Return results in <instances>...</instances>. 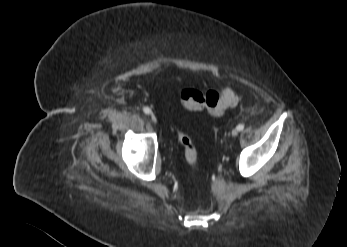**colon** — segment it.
I'll list each match as a JSON object with an SVG mask.
<instances>
[{"label": "colon", "mask_w": 347, "mask_h": 247, "mask_svg": "<svg viewBox=\"0 0 347 247\" xmlns=\"http://www.w3.org/2000/svg\"><path fill=\"white\" fill-rule=\"evenodd\" d=\"M181 101L189 110L206 109L213 116L222 115L226 109L237 102L235 92L226 88L221 91L202 92L194 88H187L181 93ZM177 138L182 146L185 161L194 166L198 159V150L191 137L183 130L177 132Z\"/></svg>", "instance_id": "colon-1"}]
</instances>
